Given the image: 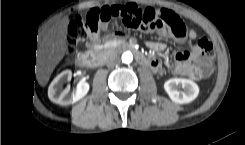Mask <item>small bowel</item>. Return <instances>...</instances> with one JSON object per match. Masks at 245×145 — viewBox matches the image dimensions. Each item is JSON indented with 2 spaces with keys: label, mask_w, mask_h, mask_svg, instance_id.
I'll use <instances>...</instances> for the list:
<instances>
[{
  "label": "small bowel",
  "mask_w": 245,
  "mask_h": 145,
  "mask_svg": "<svg viewBox=\"0 0 245 145\" xmlns=\"http://www.w3.org/2000/svg\"><path fill=\"white\" fill-rule=\"evenodd\" d=\"M178 20H180L179 18H177ZM104 29H107L108 26L106 24L103 25ZM155 34L160 37V38H165L168 35V31L164 28H160L157 31H155ZM151 48L153 49H158L159 48V44H151ZM192 60L195 63V66L193 68L194 71H198L199 70V66L203 64L204 59L202 57H200L198 54H192L191 55Z\"/></svg>",
  "instance_id": "small-bowel-1"
}]
</instances>
